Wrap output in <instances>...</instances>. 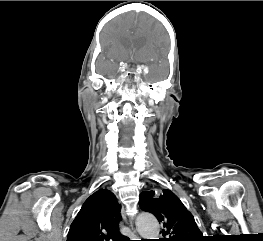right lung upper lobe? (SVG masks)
Segmentation results:
<instances>
[{
  "mask_svg": "<svg viewBox=\"0 0 263 241\" xmlns=\"http://www.w3.org/2000/svg\"><path fill=\"white\" fill-rule=\"evenodd\" d=\"M120 211L121 205L110 190L96 191L72 222L67 241H130L119 232Z\"/></svg>",
  "mask_w": 263,
  "mask_h": 241,
  "instance_id": "right-lung-upper-lobe-1",
  "label": "right lung upper lobe"
}]
</instances>
